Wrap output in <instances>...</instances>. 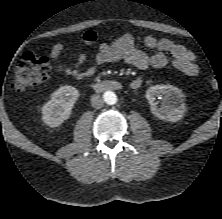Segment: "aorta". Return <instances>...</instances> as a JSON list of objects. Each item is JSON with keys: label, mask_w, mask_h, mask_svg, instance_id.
<instances>
[{"label": "aorta", "mask_w": 222, "mask_h": 219, "mask_svg": "<svg viewBox=\"0 0 222 219\" xmlns=\"http://www.w3.org/2000/svg\"><path fill=\"white\" fill-rule=\"evenodd\" d=\"M104 101L108 104V105H113L117 102V96L114 92L112 91H107L104 93Z\"/></svg>", "instance_id": "aorta-1"}]
</instances>
